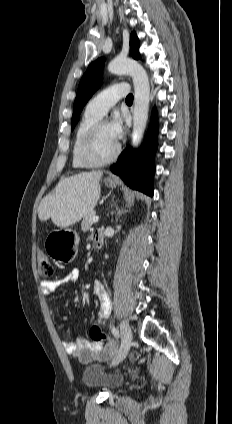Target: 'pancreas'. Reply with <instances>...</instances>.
I'll use <instances>...</instances> for the list:
<instances>
[{
  "instance_id": "cf45deb5",
  "label": "pancreas",
  "mask_w": 232,
  "mask_h": 424,
  "mask_svg": "<svg viewBox=\"0 0 232 424\" xmlns=\"http://www.w3.org/2000/svg\"><path fill=\"white\" fill-rule=\"evenodd\" d=\"M96 216L95 211H91L88 215H86L82 221L81 229L83 232L88 231L93 225L92 218Z\"/></svg>"
}]
</instances>
